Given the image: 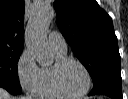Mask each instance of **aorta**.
Returning <instances> with one entry per match:
<instances>
[{
    "label": "aorta",
    "instance_id": "762f6f07",
    "mask_svg": "<svg viewBox=\"0 0 128 99\" xmlns=\"http://www.w3.org/2000/svg\"><path fill=\"white\" fill-rule=\"evenodd\" d=\"M53 17L54 11L51 7H39L31 16L26 29V47L33 53L40 65H48L53 60L45 34L46 28Z\"/></svg>",
    "mask_w": 128,
    "mask_h": 99
}]
</instances>
